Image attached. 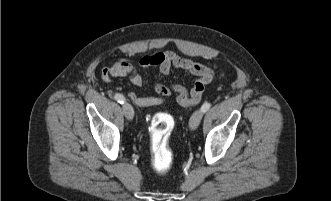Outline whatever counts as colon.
I'll return each instance as SVG.
<instances>
[{"label": "colon", "instance_id": "colon-1", "mask_svg": "<svg viewBox=\"0 0 331 201\" xmlns=\"http://www.w3.org/2000/svg\"><path fill=\"white\" fill-rule=\"evenodd\" d=\"M212 80L211 77H200L194 84L190 96L181 101L183 105L197 104L205 86ZM173 127L171 116L166 113H157L151 119V151L152 165L156 172L165 173L172 165V153L168 147V139Z\"/></svg>", "mask_w": 331, "mask_h": 201}]
</instances>
